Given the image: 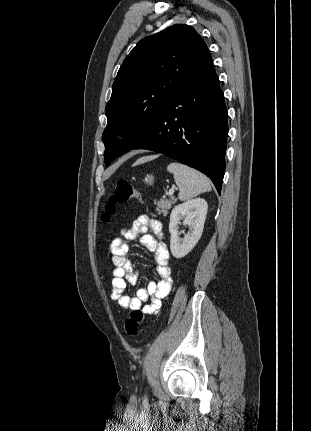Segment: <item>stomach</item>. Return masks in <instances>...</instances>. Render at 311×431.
<instances>
[{
  "mask_svg": "<svg viewBox=\"0 0 311 431\" xmlns=\"http://www.w3.org/2000/svg\"><path fill=\"white\" fill-rule=\"evenodd\" d=\"M143 182L146 186H153L154 176H152V174H146L145 178H143Z\"/></svg>",
  "mask_w": 311,
  "mask_h": 431,
  "instance_id": "obj_1",
  "label": "stomach"
}]
</instances>
